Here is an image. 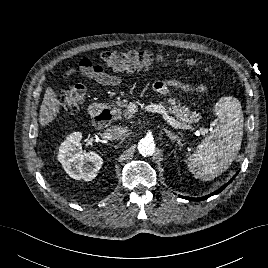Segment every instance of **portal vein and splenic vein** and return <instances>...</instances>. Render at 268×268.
Here are the masks:
<instances>
[{
    "instance_id": "18ae733b",
    "label": "portal vein and splenic vein",
    "mask_w": 268,
    "mask_h": 268,
    "mask_svg": "<svg viewBox=\"0 0 268 268\" xmlns=\"http://www.w3.org/2000/svg\"><path fill=\"white\" fill-rule=\"evenodd\" d=\"M130 109L134 111L136 109V106L133 104L130 105ZM143 110L145 112H152V113H159L163 116L165 121H167L168 124H170L172 127L177 128V129H189L190 127L185 124H181L180 122L176 121L172 116L168 114V110L159 104H149L146 105ZM200 131H203L206 133L208 130L207 129H200Z\"/></svg>"
}]
</instances>
